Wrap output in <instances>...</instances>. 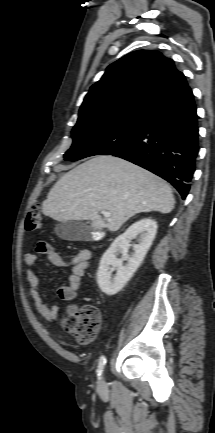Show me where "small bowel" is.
Masks as SVG:
<instances>
[{
  "label": "small bowel",
  "mask_w": 215,
  "mask_h": 433,
  "mask_svg": "<svg viewBox=\"0 0 215 433\" xmlns=\"http://www.w3.org/2000/svg\"><path fill=\"white\" fill-rule=\"evenodd\" d=\"M36 253L45 255L55 267H69L71 269L68 282L57 289V295L61 300L70 302L67 312L69 314L75 313L77 307L72 302L77 298L81 288V279L89 268L91 251L89 249H80L71 257L64 258L49 243L41 241L36 245ZM36 253L28 252L24 255V261L28 266L26 272L28 292L37 311L45 319L52 321L57 318L59 308L57 305L46 303L40 292L38 277L34 270L38 260Z\"/></svg>",
  "instance_id": "c3829d8e"
}]
</instances>
